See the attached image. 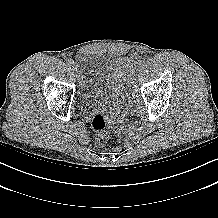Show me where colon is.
<instances>
[{
  "instance_id": "colon-1",
  "label": "colon",
  "mask_w": 218,
  "mask_h": 218,
  "mask_svg": "<svg viewBox=\"0 0 218 218\" xmlns=\"http://www.w3.org/2000/svg\"><path fill=\"white\" fill-rule=\"evenodd\" d=\"M91 125L94 131L96 143L98 145L106 144L111 137L106 116L102 112L95 113Z\"/></svg>"
}]
</instances>
